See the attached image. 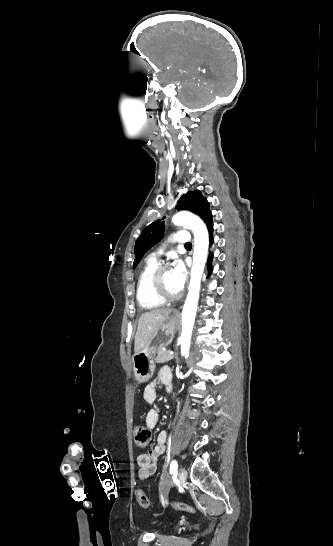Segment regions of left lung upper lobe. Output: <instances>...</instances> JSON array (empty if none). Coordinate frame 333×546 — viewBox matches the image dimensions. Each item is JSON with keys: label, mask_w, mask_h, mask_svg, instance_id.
<instances>
[{"label": "left lung upper lobe", "mask_w": 333, "mask_h": 546, "mask_svg": "<svg viewBox=\"0 0 333 546\" xmlns=\"http://www.w3.org/2000/svg\"><path fill=\"white\" fill-rule=\"evenodd\" d=\"M176 208L193 212L198 215L204 223L212 216L209 210V203L207 199L202 196L200 191H189L182 195L177 202ZM164 227V221L157 220L143 230L135 243L134 267L140 262L144 253L161 239Z\"/></svg>", "instance_id": "1"}]
</instances>
